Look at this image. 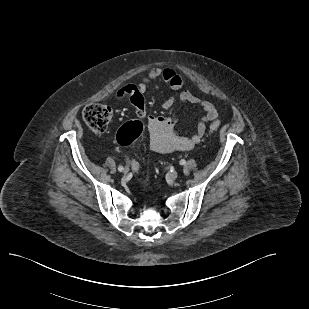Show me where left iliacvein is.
<instances>
[{
    "label": "left iliac vein",
    "instance_id": "left-iliac-vein-1",
    "mask_svg": "<svg viewBox=\"0 0 309 309\" xmlns=\"http://www.w3.org/2000/svg\"><path fill=\"white\" fill-rule=\"evenodd\" d=\"M178 178V172L176 171H170L168 174H167V179L169 181H174Z\"/></svg>",
    "mask_w": 309,
    "mask_h": 309
}]
</instances>
